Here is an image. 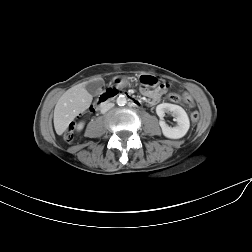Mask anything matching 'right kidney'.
<instances>
[{"label": "right kidney", "instance_id": "1", "mask_svg": "<svg viewBox=\"0 0 252 252\" xmlns=\"http://www.w3.org/2000/svg\"><path fill=\"white\" fill-rule=\"evenodd\" d=\"M83 127H84V122L78 123V125H77V131H81L83 129Z\"/></svg>", "mask_w": 252, "mask_h": 252}]
</instances>
